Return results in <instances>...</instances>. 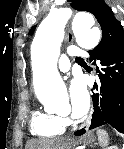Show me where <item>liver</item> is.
Returning <instances> with one entry per match:
<instances>
[{
    "instance_id": "liver-1",
    "label": "liver",
    "mask_w": 124,
    "mask_h": 149,
    "mask_svg": "<svg viewBox=\"0 0 124 149\" xmlns=\"http://www.w3.org/2000/svg\"><path fill=\"white\" fill-rule=\"evenodd\" d=\"M25 149H54L53 141L40 139L31 140L26 144Z\"/></svg>"
}]
</instances>
